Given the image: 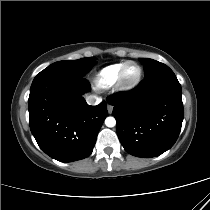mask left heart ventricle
<instances>
[{"instance_id": "obj_1", "label": "left heart ventricle", "mask_w": 210, "mask_h": 210, "mask_svg": "<svg viewBox=\"0 0 210 210\" xmlns=\"http://www.w3.org/2000/svg\"><path fill=\"white\" fill-rule=\"evenodd\" d=\"M137 75H138V67L134 64L128 65L125 70L126 80L131 81L135 79Z\"/></svg>"}]
</instances>
